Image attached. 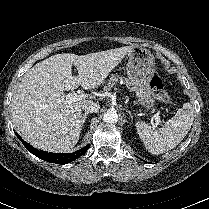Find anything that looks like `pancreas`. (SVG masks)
<instances>
[{"label": "pancreas", "mask_w": 209, "mask_h": 209, "mask_svg": "<svg viewBox=\"0 0 209 209\" xmlns=\"http://www.w3.org/2000/svg\"><path fill=\"white\" fill-rule=\"evenodd\" d=\"M118 79L123 80V78L120 77L119 75H111L110 79L108 80V83L106 84V86H104L103 90L106 92L111 90V88L117 82ZM125 83L127 86L129 85V82L126 78H125Z\"/></svg>", "instance_id": "cf45deb5"}]
</instances>
